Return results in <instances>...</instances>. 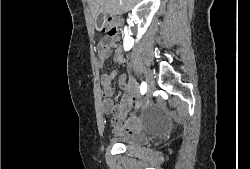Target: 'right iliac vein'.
<instances>
[{
    "instance_id": "1",
    "label": "right iliac vein",
    "mask_w": 250,
    "mask_h": 169,
    "mask_svg": "<svg viewBox=\"0 0 250 169\" xmlns=\"http://www.w3.org/2000/svg\"><path fill=\"white\" fill-rule=\"evenodd\" d=\"M145 80L148 86V95H150L153 92L154 89V80L152 73L148 70H145Z\"/></svg>"
}]
</instances>
